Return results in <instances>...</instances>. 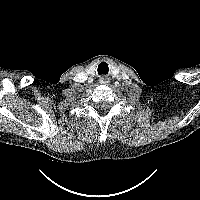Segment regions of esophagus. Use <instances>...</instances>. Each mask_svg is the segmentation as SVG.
<instances>
[{
    "instance_id": "obj_1",
    "label": "esophagus",
    "mask_w": 200,
    "mask_h": 200,
    "mask_svg": "<svg viewBox=\"0 0 200 200\" xmlns=\"http://www.w3.org/2000/svg\"><path fill=\"white\" fill-rule=\"evenodd\" d=\"M101 81H102V83H108L109 79L106 76H102Z\"/></svg>"
}]
</instances>
